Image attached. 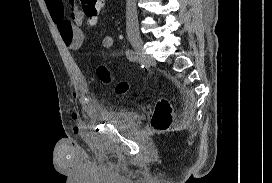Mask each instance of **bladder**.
Here are the masks:
<instances>
[{"instance_id": "31cf9c89", "label": "bladder", "mask_w": 272, "mask_h": 183, "mask_svg": "<svg viewBox=\"0 0 272 183\" xmlns=\"http://www.w3.org/2000/svg\"><path fill=\"white\" fill-rule=\"evenodd\" d=\"M104 119L118 127L130 128L135 126L138 114L133 111L104 112Z\"/></svg>"}]
</instances>
